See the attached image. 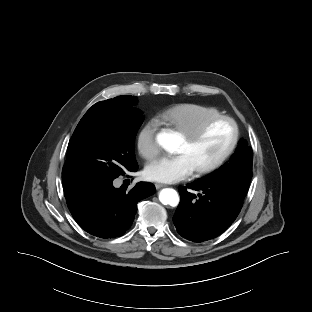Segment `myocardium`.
Segmentation results:
<instances>
[{
	"label": "myocardium",
	"instance_id": "myocardium-1",
	"mask_svg": "<svg viewBox=\"0 0 312 312\" xmlns=\"http://www.w3.org/2000/svg\"><path fill=\"white\" fill-rule=\"evenodd\" d=\"M221 121L229 122L233 126L234 134L232 141L228 146V148L225 150V152L222 155H220L216 160L212 161L209 164L196 168L195 169L196 174H205L217 169L231 156V154L234 152L239 142L240 128L237 121L231 116L218 115L205 121L196 130L184 134V138L187 140V142L194 143L197 140H199L210 129L211 126Z\"/></svg>",
	"mask_w": 312,
	"mask_h": 312
}]
</instances>
